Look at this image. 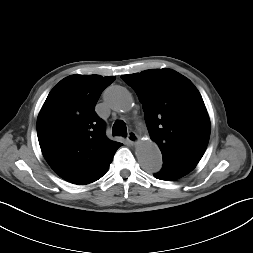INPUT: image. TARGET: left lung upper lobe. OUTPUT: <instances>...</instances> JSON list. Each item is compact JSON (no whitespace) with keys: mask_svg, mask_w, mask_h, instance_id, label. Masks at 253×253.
<instances>
[{"mask_svg":"<svg viewBox=\"0 0 253 253\" xmlns=\"http://www.w3.org/2000/svg\"><path fill=\"white\" fill-rule=\"evenodd\" d=\"M143 104L145 121L163 161L196 166L210 136V120L194 84L172 69L122 75Z\"/></svg>","mask_w":253,"mask_h":253,"instance_id":"1","label":"left lung upper lobe"}]
</instances>
